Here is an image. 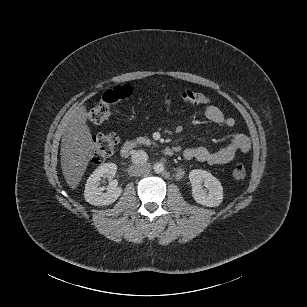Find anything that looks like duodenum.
<instances>
[{"label": "duodenum", "instance_id": "1", "mask_svg": "<svg viewBox=\"0 0 307 307\" xmlns=\"http://www.w3.org/2000/svg\"><path fill=\"white\" fill-rule=\"evenodd\" d=\"M139 146H140V142L136 140L126 141L121 147V150H120L121 156L123 158H127ZM164 154L168 157H171L175 154V150L171 147H166L164 149Z\"/></svg>", "mask_w": 307, "mask_h": 307}]
</instances>
